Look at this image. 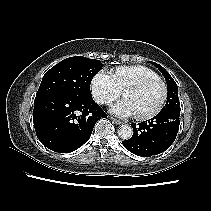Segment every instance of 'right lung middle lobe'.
I'll use <instances>...</instances> for the list:
<instances>
[{
  "label": "right lung middle lobe",
  "instance_id": "obj_1",
  "mask_svg": "<svg viewBox=\"0 0 211 211\" xmlns=\"http://www.w3.org/2000/svg\"><path fill=\"white\" fill-rule=\"evenodd\" d=\"M103 64L82 56L67 58L43 76L36 98L47 95H66L92 98L90 84Z\"/></svg>",
  "mask_w": 211,
  "mask_h": 211
}]
</instances>
